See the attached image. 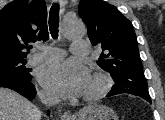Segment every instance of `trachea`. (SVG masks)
<instances>
[{
    "label": "trachea",
    "mask_w": 165,
    "mask_h": 120,
    "mask_svg": "<svg viewBox=\"0 0 165 120\" xmlns=\"http://www.w3.org/2000/svg\"><path fill=\"white\" fill-rule=\"evenodd\" d=\"M58 27H59V4L54 3L49 13V30L52 38L54 39L58 37Z\"/></svg>",
    "instance_id": "1"
}]
</instances>
